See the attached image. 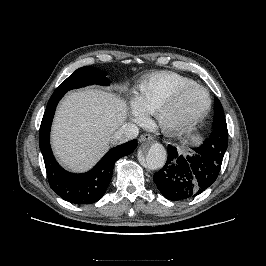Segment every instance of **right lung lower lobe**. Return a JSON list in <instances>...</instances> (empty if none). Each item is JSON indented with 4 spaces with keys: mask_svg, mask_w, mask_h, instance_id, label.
Returning <instances> with one entry per match:
<instances>
[{
    "mask_svg": "<svg viewBox=\"0 0 266 266\" xmlns=\"http://www.w3.org/2000/svg\"><path fill=\"white\" fill-rule=\"evenodd\" d=\"M66 92L55 91L45 110L40 126V150L43 155L50 187L62 199L75 204L97 202L106 192L113 174L115 162L131 154L137 147V140H131L112 148L89 172L73 174L65 171L56 162L50 148V128L59 100Z\"/></svg>",
    "mask_w": 266,
    "mask_h": 266,
    "instance_id": "obj_1",
    "label": "right lung lower lobe"
}]
</instances>
